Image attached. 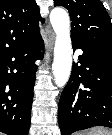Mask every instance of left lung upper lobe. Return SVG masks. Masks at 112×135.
I'll return each instance as SVG.
<instances>
[{
  "instance_id": "5c2ea615",
  "label": "left lung upper lobe",
  "mask_w": 112,
  "mask_h": 135,
  "mask_svg": "<svg viewBox=\"0 0 112 135\" xmlns=\"http://www.w3.org/2000/svg\"><path fill=\"white\" fill-rule=\"evenodd\" d=\"M68 9L71 39L86 46L112 50V24L100 0H54Z\"/></svg>"
}]
</instances>
